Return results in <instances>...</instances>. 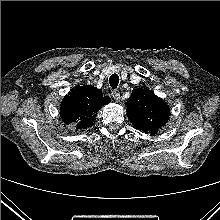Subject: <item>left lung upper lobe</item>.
<instances>
[{
	"label": "left lung upper lobe",
	"instance_id": "left-lung-upper-lobe-1",
	"mask_svg": "<svg viewBox=\"0 0 220 220\" xmlns=\"http://www.w3.org/2000/svg\"><path fill=\"white\" fill-rule=\"evenodd\" d=\"M169 107L152 91L135 89L127 101V114L139 130L155 135L169 119Z\"/></svg>",
	"mask_w": 220,
	"mask_h": 220
}]
</instances>
